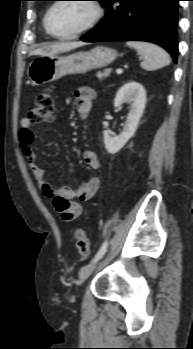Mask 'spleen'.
Returning <instances> with one entry per match:
<instances>
[{"label": "spleen", "instance_id": "spleen-1", "mask_svg": "<svg viewBox=\"0 0 193 349\" xmlns=\"http://www.w3.org/2000/svg\"><path fill=\"white\" fill-rule=\"evenodd\" d=\"M126 45L136 49L138 54L144 58L141 62V67L145 70H156L171 63L169 54L155 44L142 41H128Z\"/></svg>", "mask_w": 193, "mask_h": 349}]
</instances>
